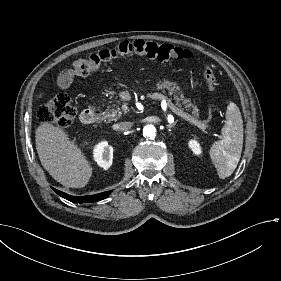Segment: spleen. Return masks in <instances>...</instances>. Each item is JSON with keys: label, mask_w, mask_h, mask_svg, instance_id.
Segmentation results:
<instances>
[{"label": "spleen", "mask_w": 281, "mask_h": 281, "mask_svg": "<svg viewBox=\"0 0 281 281\" xmlns=\"http://www.w3.org/2000/svg\"><path fill=\"white\" fill-rule=\"evenodd\" d=\"M226 120L222 140L215 142L208 152L220 180L232 175L240 161L243 148L242 116L232 100H227Z\"/></svg>", "instance_id": "3e777b00"}]
</instances>
